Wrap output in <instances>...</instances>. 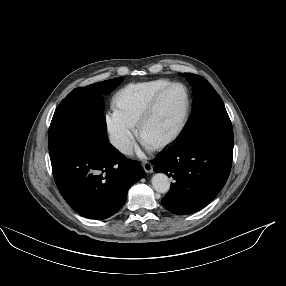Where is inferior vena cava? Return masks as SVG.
Here are the masks:
<instances>
[{"mask_svg":"<svg viewBox=\"0 0 286 286\" xmlns=\"http://www.w3.org/2000/svg\"><path fill=\"white\" fill-rule=\"evenodd\" d=\"M114 144L122 151L124 152H130L131 146H130V139L127 135L119 134L116 135L113 139Z\"/></svg>","mask_w":286,"mask_h":286,"instance_id":"obj_1","label":"inferior vena cava"}]
</instances>
